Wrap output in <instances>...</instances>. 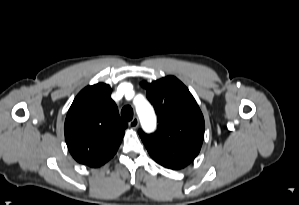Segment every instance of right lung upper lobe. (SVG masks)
<instances>
[{
	"mask_svg": "<svg viewBox=\"0 0 299 205\" xmlns=\"http://www.w3.org/2000/svg\"><path fill=\"white\" fill-rule=\"evenodd\" d=\"M109 85L85 87L68 110L64 132L73 158L100 167L117 152L127 124L121 120Z\"/></svg>",
	"mask_w": 299,
	"mask_h": 205,
	"instance_id": "right-lung-upper-lobe-1",
	"label": "right lung upper lobe"
}]
</instances>
